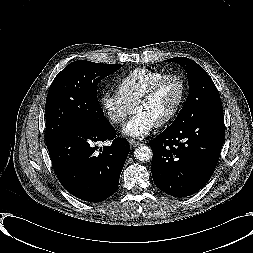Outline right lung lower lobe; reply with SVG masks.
I'll list each match as a JSON object with an SVG mask.
<instances>
[{"instance_id": "1", "label": "right lung lower lobe", "mask_w": 253, "mask_h": 253, "mask_svg": "<svg viewBox=\"0 0 253 253\" xmlns=\"http://www.w3.org/2000/svg\"><path fill=\"white\" fill-rule=\"evenodd\" d=\"M113 140L97 150L95 143ZM58 180L73 196L100 202L115 193L130 151L125 138H117L109 121L72 126L47 144Z\"/></svg>"}]
</instances>
